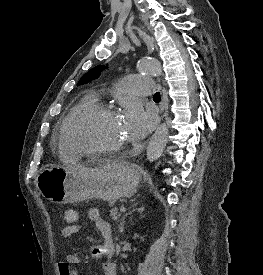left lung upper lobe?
<instances>
[{
  "instance_id": "obj_1",
  "label": "left lung upper lobe",
  "mask_w": 263,
  "mask_h": 275,
  "mask_svg": "<svg viewBox=\"0 0 263 275\" xmlns=\"http://www.w3.org/2000/svg\"><path fill=\"white\" fill-rule=\"evenodd\" d=\"M102 70V66H98L90 70L88 73H86L82 78L80 79L78 85L84 84L90 81V79H96L98 78L100 71Z\"/></svg>"
}]
</instances>
